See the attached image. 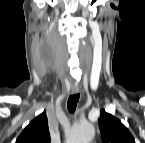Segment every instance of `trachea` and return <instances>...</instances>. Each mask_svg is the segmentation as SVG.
Here are the masks:
<instances>
[{"label": "trachea", "mask_w": 145, "mask_h": 143, "mask_svg": "<svg viewBox=\"0 0 145 143\" xmlns=\"http://www.w3.org/2000/svg\"><path fill=\"white\" fill-rule=\"evenodd\" d=\"M79 94H73L69 96L68 102H67V108L70 113H74L77 103L79 101Z\"/></svg>", "instance_id": "trachea-1"}]
</instances>
